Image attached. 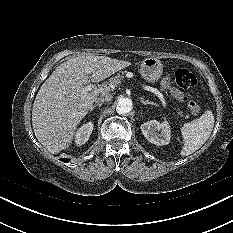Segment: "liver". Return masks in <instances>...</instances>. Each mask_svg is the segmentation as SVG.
I'll return each mask as SVG.
<instances>
[{
	"instance_id": "1",
	"label": "liver",
	"mask_w": 233,
	"mask_h": 233,
	"mask_svg": "<svg viewBox=\"0 0 233 233\" xmlns=\"http://www.w3.org/2000/svg\"><path fill=\"white\" fill-rule=\"evenodd\" d=\"M129 65L128 61L94 54L59 65L42 84L33 104L32 126L38 141L52 154L69 147L78 124L104 94L85 91L84 85L103 81Z\"/></svg>"
}]
</instances>
